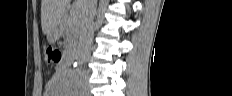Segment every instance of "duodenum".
Here are the masks:
<instances>
[{
    "mask_svg": "<svg viewBox=\"0 0 232 96\" xmlns=\"http://www.w3.org/2000/svg\"><path fill=\"white\" fill-rule=\"evenodd\" d=\"M66 62H68V63L74 62V58L70 53L66 54Z\"/></svg>",
    "mask_w": 232,
    "mask_h": 96,
    "instance_id": "410a0bca",
    "label": "duodenum"
}]
</instances>
